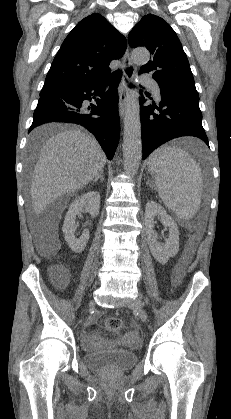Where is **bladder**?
Listing matches in <instances>:
<instances>
[{
	"label": "bladder",
	"mask_w": 231,
	"mask_h": 419,
	"mask_svg": "<svg viewBox=\"0 0 231 419\" xmlns=\"http://www.w3.org/2000/svg\"><path fill=\"white\" fill-rule=\"evenodd\" d=\"M83 362L89 369H110L121 372L136 365L138 355L134 352L114 349L106 352L87 353L84 355Z\"/></svg>",
	"instance_id": "1"
}]
</instances>
